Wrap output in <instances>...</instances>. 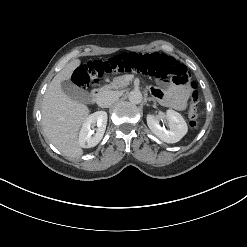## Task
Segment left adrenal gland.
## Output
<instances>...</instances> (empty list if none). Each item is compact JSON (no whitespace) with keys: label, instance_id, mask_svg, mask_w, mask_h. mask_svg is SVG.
Here are the masks:
<instances>
[{"label":"left adrenal gland","instance_id":"a2214340","mask_svg":"<svg viewBox=\"0 0 247 247\" xmlns=\"http://www.w3.org/2000/svg\"><path fill=\"white\" fill-rule=\"evenodd\" d=\"M148 101H153L155 102V100L153 98H148Z\"/></svg>","mask_w":247,"mask_h":247}]
</instances>
